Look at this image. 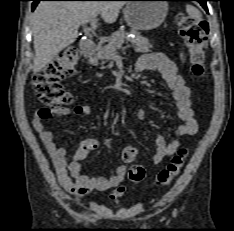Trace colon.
I'll return each instance as SVG.
<instances>
[{
  "label": "colon",
  "mask_w": 234,
  "mask_h": 231,
  "mask_svg": "<svg viewBox=\"0 0 234 231\" xmlns=\"http://www.w3.org/2000/svg\"><path fill=\"white\" fill-rule=\"evenodd\" d=\"M177 25L184 39L190 69L194 76L202 77L205 73V48L208 38V24L205 20H197L187 15H179ZM79 52L76 47H67L48 64L41 72L34 75L32 83L38 98L53 108H60L72 103V95L60 84L64 78L73 76L77 72ZM187 150L180 149L170 160L167 167L156 175V182L166 186L181 172ZM138 158V150L134 146H126L122 151V159L127 163H134ZM129 179L140 182L146 177V170L140 164H133L129 169Z\"/></svg>",
  "instance_id": "5ec220e1"
}]
</instances>
